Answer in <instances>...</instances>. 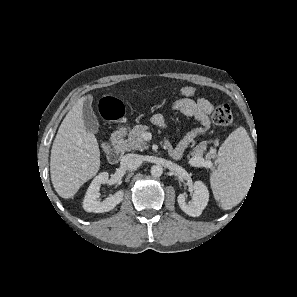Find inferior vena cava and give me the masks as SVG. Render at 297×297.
<instances>
[{
  "instance_id": "602c4592",
  "label": "inferior vena cava",
  "mask_w": 297,
  "mask_h": 297,
  "mask_svg": "<svg viewBox=\"0 0 297 297\" xmlns=\"http://www.w3.org/2000/svg\"><path fill=\"white\" fill-rule=\"evenodd\" d=\"M142 164V156L138 154H126L121 159V166L125 169L132 170Z\"/></svg>"
}]
</instances>
